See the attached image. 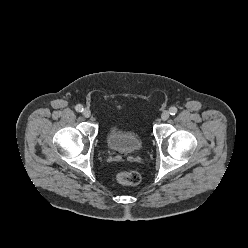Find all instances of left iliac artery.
Instances as JSON below:
<instances>
[{
	"mask_svg": "<svg viewBox=\"0 0 248 248\" xmlns=\"http://www.w3.org/2000/svg\"><path fill=\"white\" fill-rule=\"evenodd\" d=\"M169 112H170L171 115H175L177 113V108L176 107H171L169 109Z\"/></svg>",
	"mask_w": 248,
	"mask_h": 248,
	"instance_id": "obj_1",
	"label": "left iliac artery"
}]
</instances>
